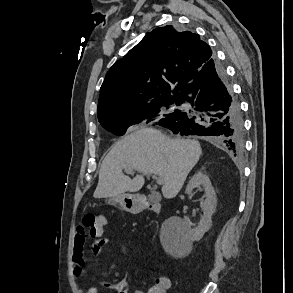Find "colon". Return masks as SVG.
Segmentation results:
<instances>
[{
  "label": "colon",
  "instance_id": "1",
  "mask_svg": "<svg viewBox=\"0 0 293 293\" xmlns=\"http://www.w3.org/2000/svg\"><path fill=\"white\" fill-rule=\"evenodd\" d=\"M106 224L107 218L103 214L88 213L84 215L82 220L83 229L91 238L101 236L104 232ZM149 293H164V282L158 280L150 287Z\"/></svg>",
  "mask_w": 293,
  "mask_h": 293
}]
</instances>
